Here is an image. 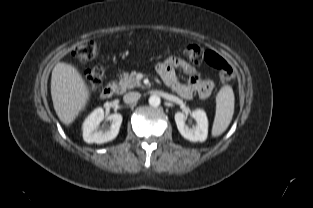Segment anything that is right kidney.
Returning <instances> with one entry per match:
<instances>
[{"mask_svg":"<svg viewBox=\"0 0 313 208\" xmlns=\"http://www.w3.org/2000/svg\"><path fill=\"white\" fill-rule=\"evenodd\" d=\"M111 126L99 129L100 123L104 120V111L102 108H96L83 123V139L87 143L102 144L113 140L119 133L122 123L121 114H111L107 117Z\"/></svg>","mask_w":313,"mask_h":208,"instance_id":"obj_1","label":"right kidney"}]
</instances>
